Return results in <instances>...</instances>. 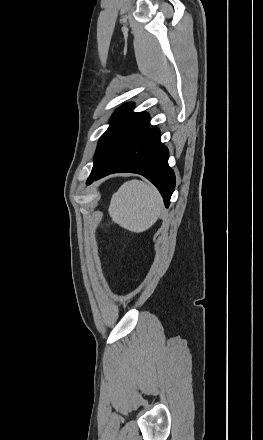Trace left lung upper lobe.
Here are the masks:
<instances>
[{
	"label": "left lung upper lobe",
	"mask_w": 263,
	"mask_h": 440,
	"mask_svg": "<svg viewBox=\"0 0 263 440\" xmlns=\"http://www.w3.org/2000/svg\"><path fill=\"white\" fill-rule=\"evenodd\" d=\"M132 108L133 104H125L123 107L119 108L111 118L109 128L101 136L98 142L91 173L101 171L109 161L125 130L137 114L130 110Z\"/></svg>",
	"instance_id": "obj_1"
}]
</instances>
